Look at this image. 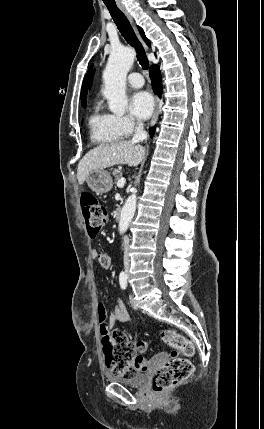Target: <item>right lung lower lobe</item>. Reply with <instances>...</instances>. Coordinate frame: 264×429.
<instances>
[{
  "mask_svg": "<svg viewBox=\"0 0 264 429\" xmlns=\"http://www.w3.org/2000/svg\"><path fill=\"white\" fill-rule=\"evenodd\" d=\"M150 77L152 80V88L153 91L158 94L159 96H161L162 94V81H161V75H160V71L157 65H153L150 68ZM151 136H153L154 134V128L150 131Z\"/></svg>",
  "mask_w": 264,
  "mask_h": 429,
  "instance_id": "98d812e1",
  "label": "right lung lower lobe"
}]
</instances>
